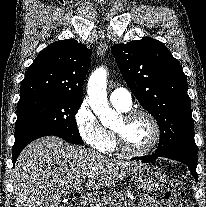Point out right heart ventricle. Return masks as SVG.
Listing matches in <instances>:
<instances>
[{"label": "right heart ventricle", "instance_id": "right-heart-ventricle-1", "mask_svg": "<svg viewBox=\"0 0 206 207\" xmlns=\"http://www.w3.org/2000/svg\"><path fill=\"white\" fill-rule=\"evenodd\" d=\"M114 106L120 111H127V110H125V109H123V108H121L117 105H114ZM106 132H107L108 138H109V145H108L107 151H115L117 145H116V140H115L114 133L110 130H107Z\"/></svg>", "mask_w": 206, "mask_h": 207}]
</instances>
